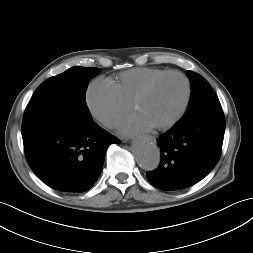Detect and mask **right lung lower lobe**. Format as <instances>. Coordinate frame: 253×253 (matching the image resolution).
<instances>
[{"instance_id": "obj_1", "label": "right lung lower lobe", "mask_w": 253, "mask_h": 253, "mask_svg": "<svg viewBox=\"0 0 253 253\" xmlns=\"http://www.w3.org/2000/svg\"><path fill=\"white\" fill-rule=\"evenodd\" d=\"M23 137L27 162L49 187L85 192L101 174L109 145L120 140L93 120L64 119Z\"/></svg>"}]
</instances>
